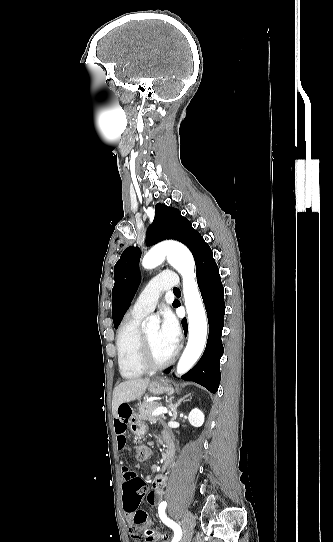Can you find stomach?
I'll return each mask as SVG.
<instances>
[{
	"mask_svg": "<svg viewBox=\"0 0 333 542\" xmlns=\"http://www.w3.org/2000/svg\"><path fill=\"white\" fill-rule=\"evenodd\" d=\"M148 392L152 396H160V394H172L173 388L168 380H159V382H150ZM131 431L133 432V439L138 441L142 439V434L146 432V426L141 422H137L131 426Z\"/></svg>",
	"mask_w": 333,
	"mask_h": 542,
	"instance_id": "0dacf381",
	"label": "stomach"
}]
</instances>
